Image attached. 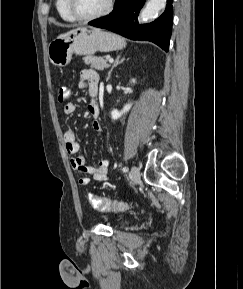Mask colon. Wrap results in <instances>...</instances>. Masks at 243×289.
<instances>
[{"label": "colon", "instance_id": "5ec220e1", "mask_svg": "<svg viewBox=\"0 0 243 289\" xmlns=\"http://www.w3.org/2000/svg\"><path fill=\"white\" fill-rule=\"evenodd\" d=\"M70 89L68 87H61L58 91V101L64 102L70 97ZM90 205L99 211H125L131 208L125 202L113 201L105 198H100L93 194L88 196Z\"/></svg>", "mask_w": 243, "mask_h": 289}]
</instances>
